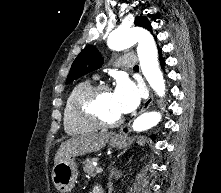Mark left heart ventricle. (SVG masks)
<instances>
[{"mask_svg":"<svg viewBox=\"0 0 221 193\" xmlns=\"http://www.w3.org/2000/svg\"><path fill=\"white\" fill-rule=\"evenodd\" d=\"M113 92L111 90L104 92L99 101V108L106 119L113 120L120 117L122 114L116 108L113 100Z\"/></svg>","mask_w":221,"mask_h":193,"instance_id":"left-heart-ventricle-1","label":"left heart ventricle"}]
</instances>
